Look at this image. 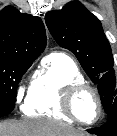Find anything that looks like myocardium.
Segmentation results:
<instances>
[{
	"mask_svg": "<svg viewBox=\"0 0 117 136\" xmlns=\"http://www.w3.org/2000/svg\"><path fill=\"white\" fill-rule=\"evenodd\" d=\"M84 93L92 94L97 104L98 112H97L96 118L93 121H85L81 119L77 115L76 110H75V105H76V101L78 97ZM62 110L72 120L80 124L92 125V124L97 123L99 119L101 118L102 113H103V105H102L101 97L98 91L94 87L90 86L87 83H76V84H73L67 87L64 90L62 94Z\"/></svg>",
	"mask_w": 117,
	"mask_h": 136,
	"instance_id": "obj_1",
	"label": "myocardium"
}]
</instances>
